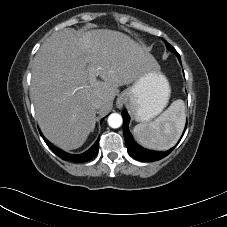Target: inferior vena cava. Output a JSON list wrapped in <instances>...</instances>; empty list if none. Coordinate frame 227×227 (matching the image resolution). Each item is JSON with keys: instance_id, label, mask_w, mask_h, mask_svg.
<instances>
[{"instance_id": "602c4592", "label": "inferior vena cava", "mask_w": 227, "mask_h": 227, "mask_svg": "<svg viewBox=\"0 0 227 227\" xmlns=\"http://www.w3.org/2000/svg\"><path fill=\"white\" fill-rule=\"evenodd\" d=\"M92 105L95 109H100L103 105V102L101 99H96L93 101Z\"/></svg>"}]
</instances>
